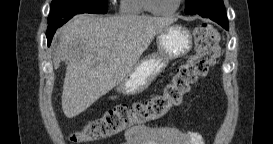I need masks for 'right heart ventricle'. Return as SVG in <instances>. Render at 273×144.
<instances>
[{
	"instance_id": "obj_1",
	"label": "right heart ventricle",
	"mask_w": 273,
	"mask_h": 144,
	"mask_svg": "<svg viewBox=\"0 0 273 144\" xmlns=\"http://www.w3.org/2000/svg\"><path fill=\"white\" fill-rule=\"evenodd\" d=\"M120 11L127 16L141 15L145 11V0H122Z\"/></svg>"
}]
</instances>
